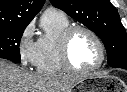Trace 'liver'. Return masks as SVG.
Here are the masks:
<instances>
[{
    "instance_id": "6515ba94",
    "label": "liver",
    "mask_w": 127,
    "mask_h": 92,
    "mask_svg": "<svg viewBox=\"0 0 127 92\" xmlns=\"http://www.w3.org/2000/svg\"><path fill=\"white\" fill-rule=\"evenodd\" d=\"M84 77L32 74L0 60V92H71Z\"/></svg>"
}]
</instances>
